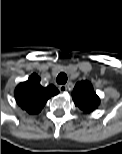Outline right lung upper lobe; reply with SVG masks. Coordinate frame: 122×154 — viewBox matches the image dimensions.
I'll return each instance as SVG.
<instances>
[{"label": "right lung upper lobe", "instance_id": "cb5924a9", "mask_svg": "<svg viewBox=\"0 0 122 154\" xmlns=\"http://www.w3.org/2000/svg\"><path fill=\"white\" fill-rule=\"evenodd\" d=\"M58 93V89L53 85L42 87L40 77L34 73L27 81L16 87L15 98L22 109L30 114H36L42 110L50 97Z\"/></svg>", "mask_w": 122, "mask_h": 154}]
</instances>
